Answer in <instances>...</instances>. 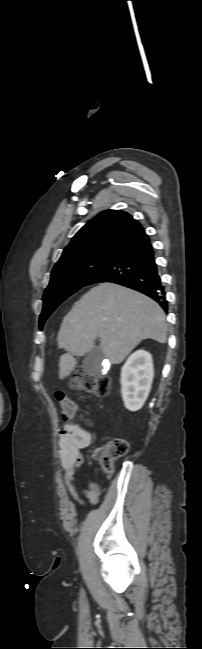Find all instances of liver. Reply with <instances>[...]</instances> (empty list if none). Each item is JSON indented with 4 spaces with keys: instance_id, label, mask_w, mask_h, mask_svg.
Segmentation results:
<instances>
[{
    "instance_id": "obj_1",
    "label": "liver",
    "mask_w": 202,
    "mask_h": 649,
    "mask_svg": "<svg viewBox=\"0 0 202 649\" xmlns=\"http://www.w3.org/2000/svg\"><path fill=\"white\" fill-rule=\"evenodd\" d=\"M165 313L150 297L130 288L101 283L81 297L63 318L57 336L60 348L59 378L70 375L77 362L100 338L103 355L112 364L121 363L142 340H167Z\"/></svg>"
}]
</instances>
